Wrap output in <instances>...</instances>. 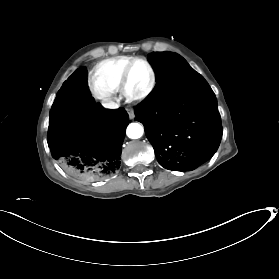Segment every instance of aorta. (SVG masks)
<instances>
[{
  "mask_svg": "<svg viewBox=\"0 0 279 279\" xmlns=\"http://www.w3.org/2000/svg\"><path fill=\"white\" fill-rule=\"evenodd\" d=\"M143 133L144 129L139 123H130L126 129V134L131 139H138Z\"/></svg>",
  "mask_w": 279,
  "mask_h": 279,
  "instance_id": "obj_1",
  "label": "aorta"
}]
</instances>
